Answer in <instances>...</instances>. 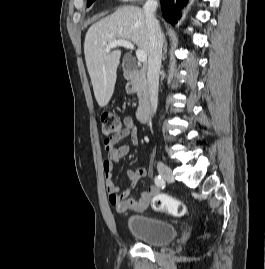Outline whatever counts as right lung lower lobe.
Returning <instances> with one entry per match:
<instances>
[{
	"label": "right lung lower lobe",
	"instance_id": "1",
	"mask_svg": "<svg viewBox=\"0 0 265 269\" xmlns=\"http://www.w3.org/2000/svg\"><path fill=\"white\" fill-rule=\"evenodd\" d=\"M163 17L172 25L176 24L181 16L180 9L187 4V0H160Z\"/></svg>",
	"mask_w": 265,
	"mask_h": 269
}]
</instances>
